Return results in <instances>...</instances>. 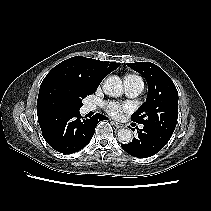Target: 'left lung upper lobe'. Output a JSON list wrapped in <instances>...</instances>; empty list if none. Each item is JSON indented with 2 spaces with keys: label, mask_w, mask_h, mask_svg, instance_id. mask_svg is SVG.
Segmentation results:
<instances>
[{
  "label": "left lung upper lobe",
  "mask_w": 211,
  "mask_h": 211,
  "mask_svg": "<svg viewBox=\"0 0 211 211\" xmlns=\"http://www.w3.org/2000/svg\"><path fill=\"white\" fill-rule=\"evenodd\" d=\"M127 65L143 75L148 84L146 102L132 115V120L171 137L178 118V92L173 81L151 62Z\"/></svg>",
  "instance_id": "1"
}]
</instances>
